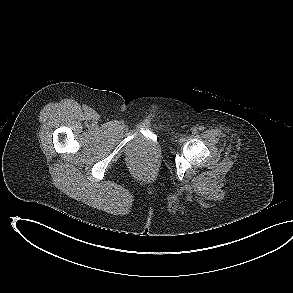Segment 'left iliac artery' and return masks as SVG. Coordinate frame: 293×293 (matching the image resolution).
<instances>
[{
	"mask_svg": "<svg viewBox=\"0 0 293 293\" xmlns=\"http://www.w3.org/2000/svg\"><path fill=\"white\" fill-rule=\"evenodd\" d=\"M204 129H205L204 126H200V127H199V130H200V131H203Z\"/></svg>",
	"mask_w": 293,
	"mask_h": 293,
	"instance_id": "44dca946",
	"label": "left iliac artery"
}]
</instances>
